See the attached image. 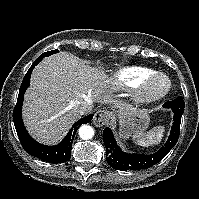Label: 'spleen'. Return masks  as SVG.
<instances>
[{"label":"spleen","mask_w":199,"mask_h":199,"mask_svg":"<svg viewBox=\"0 0 199 199\" xmlns=\"http://www.w3.org/2000/svg\"><path fill=\"white\" fill-rule=\"evenodd\" d=\"M164 131L165 129L162 126L154 127L147 133L141 132L133 135V140L142 147L157 145L162 141Z\"/></svg>","instance_id":"3e777b00"}]
</instances>
